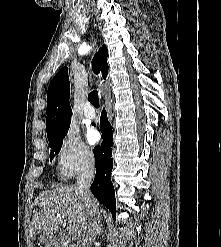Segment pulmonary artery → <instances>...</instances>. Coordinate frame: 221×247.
Returning <instances> with one entry per match:
<instances>
[{"instance_id":"obj_1","label":"pulmonary artery","mask_w":221,"mask_h":247,"mask_svg":"<svg viewBox=\"0 0 221 247\" xmlns=\"http://www.w3.org/2000/svg\"><path fill=\"white\" fill-rule=\"evenodd\" d=\"M95 111L94 109L88 104L85 109H84V116L87 118V119H93L95 118Z\"/></svg>"}]
</instances>
